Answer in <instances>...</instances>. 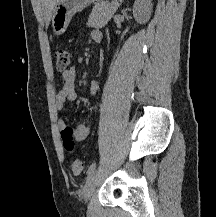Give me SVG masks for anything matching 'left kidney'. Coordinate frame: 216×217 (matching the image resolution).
I'll list each match as a JSON object with an SVG mask.
<instances>
[{"instance_id": "5707ae66", "label": "left kidney", "mask_w": 216, "mask_h": 217, "mask_svg": "<svg viewBox=\"0 0 216 217\" xmlns=\"http://www.w3.org/2000/svg\"><path fill=\"white\" fill-rule=\"evenodd\" d=\"M151 0H136L133 6V16L138 23H146L151 16Z\"/></svg>"}]
</instances>
